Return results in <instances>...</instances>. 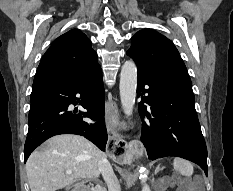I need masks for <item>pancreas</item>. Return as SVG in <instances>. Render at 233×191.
Masks as SVG:
<instances>
[{
    "label": "pancreas",
    "instance_id": "1",
    "mask_svg": "<svg viewBox=\"0 0 233 191\" xmlns=\"http://www.w3.org/2000/svg\"><path fill=\"white\" fill-rule=\"evenodd\" d=\"M93 191H104V190H101V189H94Z\"/></svg>",
    "mask_w": 233,
    "mask_h": 191
}]
</instances>
